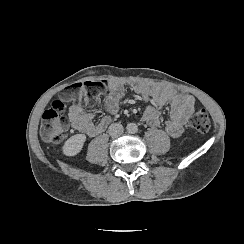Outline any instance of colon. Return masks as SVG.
Masks as SVG:
<instances>
[{
  "label": "colon",
  "instance_id": "5ec220e1",
  "mask_svg": "<svg viewBox=\"0 0 244 244\" xmlns=\"http://www.w3.org/2000/svg\"><path fill=\"white\" fill-rule=\"evenodd\" d=\"M104 88L105 84L98 81L93 82L91 85L79 83L69 87H62L58 93L62 100L57 99L51 102L42 114L41 137L50 143L61 141L63 133L69 128V122L63 115L66 108L65 101L69 100L73 95L86 105H93L99 101ZM191 124L196 131L200 133L207 132L211 126L208 113L202 108H197L192 116Z\"/></svg>",
  "mask_w": 244,
  "mask_h": 244
}]
</instances>
